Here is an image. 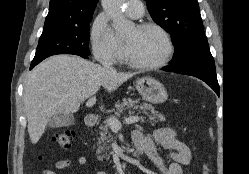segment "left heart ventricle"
<instances>
[{"mask_svg": "<svg viewBox=\"0 0 249 174\" xmlns=\"http://www.w3.org/2000/svg\"><path fill=\"white\" fill-rule=\"evenodd\" d=\"M126 58L140 63H153L162 60L168 45L161 33L154 29L138 31L134 28L123 39Z\"/></svg>", "mask_w": 249, "mask_h": 174, "instance_id": "obj_1", "label": "left heart ventricle"}]
</instances>
